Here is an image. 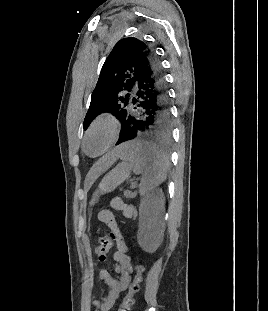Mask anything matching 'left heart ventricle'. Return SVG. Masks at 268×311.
Masks as SVG:
<instances>
[{"instance_id": "b2bd125f", "label": "left heart ventricle", "mask_w": 268, "mask_h": 311, "mask_svg": "<svg viewBox=\"0 0 268 311\" xmlns=\"http://www.w3.org/2000/svg\"><path fill=\"white\" fill-rule=\"evenodd\" d=\"M109 138V130L105 127L95 130L87 140V150L91 154H97L105 146Z\"/></svg>"}]
</instances>
